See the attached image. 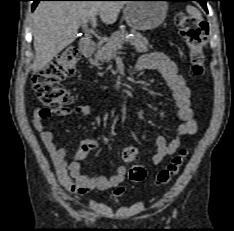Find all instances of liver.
I'll return each mask as SVG.
<instances>
[{"label":"liver","instance_id":"1","mask_svg":"<svg viewBox=\"0 0 234 231\" xmlns=\"http://www.w3.org/2000/svg\"><path fill=\"white\" fill-rule=\"evenodd\" d=\"M124 1H43L33 14L35 59L33 71L42 70L72 44L79 27L100 15L102 22H116Z\"/></svg>","mask_w":234,"mask_h":231}]
</instances>
